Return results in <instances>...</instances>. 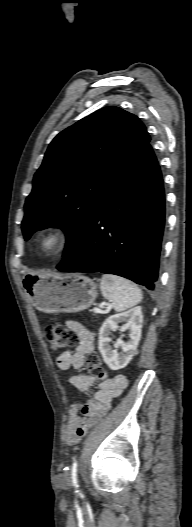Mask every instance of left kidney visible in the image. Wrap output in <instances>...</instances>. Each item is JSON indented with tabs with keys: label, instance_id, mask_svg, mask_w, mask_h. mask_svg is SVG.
Instances as JSON below:
<instances>
[{
	"label": "left kidney",
	"instance_id": "obj_1",
	"mask_svg": "<svg viewBox=\"0 0 192 527\" xmlns=\"http://www.w3.org/2000/svg\"><path fill=\"white\" fill-rule=\"evenodd\" d=\"M122 322H125V324L119 327L118 324ZM142 323L143 315L141 307L139 306L126 312L112 315L103 322L99 330L98 349L102 354L104 362L111 370L124 368L136 354L137 346L141 338ZM117 329H120L121 332L128 330L130 339L127 342L118 339L114 344L116 349L112 350L109 345L111 342L109 335ZM119 347L122 349L121 353L117 351Z\"/></svg>",
	"mask_w": 192,
	"mask_h": 527
}]
</instances>
